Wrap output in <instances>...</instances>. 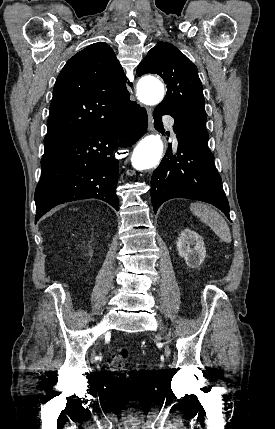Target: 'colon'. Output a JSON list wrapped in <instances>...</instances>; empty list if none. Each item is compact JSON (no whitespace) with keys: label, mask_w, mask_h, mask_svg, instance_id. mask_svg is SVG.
I'll list each match as a JSON object with an SVG mask.
<instances>
[{"label":"colon","mask_w":275,"mask_h":429,"mask_svg":"<svg viewBox=\"0 0 275 429\" xmlns=\"http://www.w3.org/2000/svg\"><path fill=\"white\" fill-rule=\"evenodd\" d=\"M128 351L125 347H117L109 357L111 364L114 366V374L119 377H127V372L122 368V363L127 359Z\"/></svg>","instance_id":"colon-1"}]
</instances>
